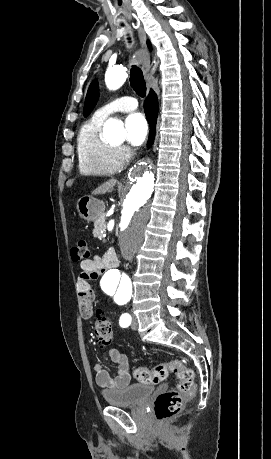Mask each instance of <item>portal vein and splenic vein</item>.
<instances>
[{"label":"portal vein and splenic vein","mask_w":271,"mask_h":459,"mask_svg":"<svg viewBox=\"0 0 271 459\" xmlns=\"http://www.w3.org/2000/svg\"><path fill=\"white\" fill-rule=\"evenodd\" d=\"M103 229H106V226H103Z\"/></svg>","instance_id":"obj_1"}]
</instances>
